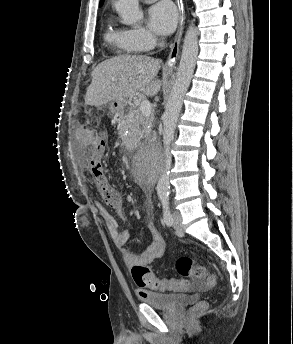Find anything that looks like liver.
Returning <instances> with one entry per match:
<instances>
[{"label":"liver","mask_w":293,"mask_h":344,"mask_svg":"<svg viewBox=\"0 0 293 344\" xmlns=\"http://www.w3.org/2000/svg\"><path fill=\"white\" fill-rule=\"evenodd\" d=\"M158 59L145 55H121L100 63L92 72L85 103L101 106L114 100L132 99L140 91L156 95L162 81L156 79Z\"/></svg>","instance_id":"obj_1"}]
</instances>
